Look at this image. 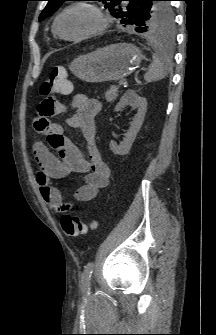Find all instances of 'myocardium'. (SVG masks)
I'll list each match as a JSON object with an SVG mask.
<instances>
[{"mask_svg": "<svg viewBox=\"0 0 216 335\" xmlns=\"http://www.w3.org/2000/svg\"><path fill=\"white\" fill-rule=\"evenodd\" d=\"M75 8H84L92 12L97 18V25L94 28L90 29L89 31L81 35L68 37L62 34L61 31L59 30V20L66 12H68L69 10L75 9ZM108 26H109L108 17L104 14V12L97 5L91 4L88 2H75V3H72L66 6L57 14V16L54 19V23H53V31L59 38L63 40L81 41V40L88 39L90 37L96 36L104 32L108 28Z\"/></svg>", "mask_w": 216, "mask_h": 335, "instance_id": "myocardium-1", "label": "myocardium"}]
</instances>
